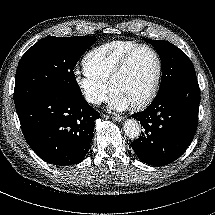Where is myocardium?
Masks as SVG:
<instances>
[{
    "label": "myocardium",
    "instance_id": "1",
    "mask_svg": "<svg viewBox=\"0 0 215 215\" xmlns=\"http://www.w3.org/2000/svg\"><path fill=\"white\" fill-rule=\"evenodd\" d=\"M142 48L150 50L151 53L153 54L155 61H156V72H155V76H154L152 85H151L148 93L146 94V96L138 103L130 105V108L135 111H139V110H142V109L148 107L157 94V91H158V88L160 85V81H161V77H162V70H163L162 59H161L158 51L152 45L147 44V43L136 44L135 46L130 48L119 59V61L117 62L116 66L109 78V82H108L109 90L112 91V86H113L114 82L124 72L129 61L131 60L132 56L135 54L136 51H138L139 49H142Z\"/></svg>",
    "mask_w": 215,
    "mask_h": 215
}]
</instances>
